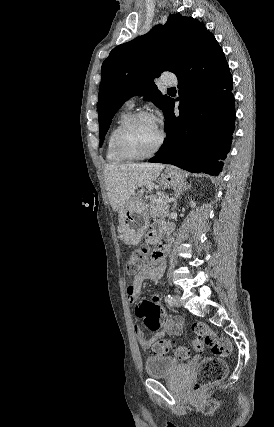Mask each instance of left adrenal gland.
I'll use <instances>...</instances> for the list:
<instances>
[{
    "label": "left adrenal gland",
    "mask_w": 274,
    "mask_h": 427,
    "mask_svg": "<svg viewBox=\"0 0 274 427\" xmlns=\"http://www.w3.org/2000/svg\"><path fill=\"white\" fill-rule=\"evenodd\" d=\"M191 186H184V188H179V190H175V194H174V204H173V208H172V212H174L176 206H177V202H178V198L179 196H181L182 192H186V190H190Z\"/></svg>",
    "instance_id": "obj_1"
}]
</instances>
